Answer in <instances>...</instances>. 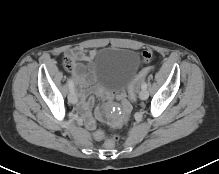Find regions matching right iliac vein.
Here are the masks:
<instances>
[{
  "mask_svg": "<svg viewBox=\"0 0 219 174\" xmlns=\"http://www.w3.org/2000/svg\"><path fill=\"white\" fill-rule=\"evenodd\" d=\"M68 100L72 104H76L77 103V96H76V93L74 91L69 93Z\"/></svg>",
  "mask_w": 219,
  "mask_h": 174,
  "instance_id": "obj_1",
  "label": "right iliac vein"
}]
</instances>
